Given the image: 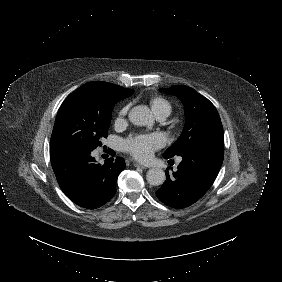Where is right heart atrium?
<instances>
[{
  "label": "right heart atrium",
  "mask_w": 282,
  "mask_h": 282,
  "mask_svg": "<svg viewBox=\"0 0 282 282\" xmlns=\"http://www.w3.org/2000/svg\"><path fill=\"white\" fill-rule=\"evenodd\" d=\"M126 112V109H123L120 113V116L123 115Z\"/></svg>",
  "instance_id": "right-heart-atrium-1"
}]
</instances>
